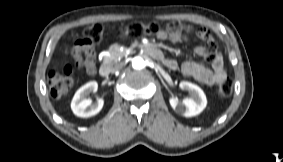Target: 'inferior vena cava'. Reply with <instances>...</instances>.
Segmentation results:
<instances>
[{
  "label": "inferior vena cava",
  "instance_id": "obj_1",
  "mask_svg": "<svg viewBox=\"0 0 283 162\" xmlns=\"http://www.w3.org/2000/svg\"><path fill=\"white\" fill-rule=\"evenodd\" d=\"M122 68V64H116L113 68H112V72H116L119 71Z\"/></svg>",
  "mask_w": 283,
  "mask_h": 162
}]
</instances>
